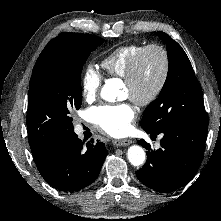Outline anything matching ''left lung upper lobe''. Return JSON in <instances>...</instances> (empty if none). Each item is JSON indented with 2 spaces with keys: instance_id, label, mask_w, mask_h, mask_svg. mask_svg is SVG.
Returning <instances> with one entry per match:
<instances>
[{
  "instance_id": "left-lung-upper-lobe-1",
  "label": "left lung upper lobe",
  "mask_w": 221,
  "mask_h": 221,
  "mask_svg": "<svg viewBox=\"0 0 221 221\" xmlns=\"http://www.w3.org/2000/svg\"><path fill=\"white\" fill-rule=\"evenodd\" d=\"M167 47L169 69L159 97L145 110L141 126L159 134L175 123L202 125L208 120L203 95L182 47L166 33L156 32Z\"/></svg>"
}]
</instances>
